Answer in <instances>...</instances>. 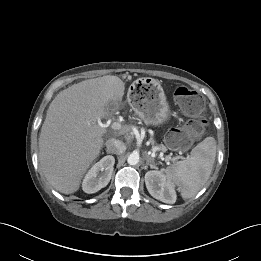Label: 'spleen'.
<instances>
[{
  "label": "spleen",
  "mask_w": 261,
  "mask_h": 261,
  "mask_svg": "<svg viewBox=\"0 0 261 261\" xmlns=\"http://www.w3.org/2000/svg\"><path fill=\"white\" fill-rule=\"evenodd\" d=\"M216 157V141L207 137L190 155L165 170L168 181L178 187L183 199L194 197L209 179Z\"/></svg>",
  "instance_id": "3e777b00"
}]
</instances>
